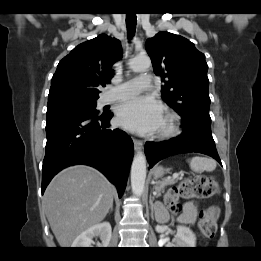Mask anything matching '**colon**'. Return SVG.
<instances>
[{"label": "colon", "instance_id": "obj_1", "mask_svg": "<svg viewBox=\"0 0 261 261\" xmlns=\"http://www.w3.org/2000/svg\"><path fill=\"white\" fill-rule=\"evenodd\" d=\"M216 181L209 176H197L181 181L169 189L164 196V204L174 214L182 210L181 201L184 199H208L218 193ZM199 226L205 240L214 238L217 230L216 209L211 206L203 210L199 217Z\"/></svg>", "mask_w": 261, "mask_h": 261}]
</instances>
